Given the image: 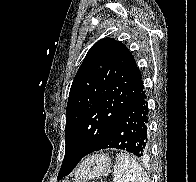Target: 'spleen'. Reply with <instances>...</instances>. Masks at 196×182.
I'll return each mask as SVG.
<instances>
[{"label":"spleen","mask_w":196,"mask_h":182,"mask_svg":"<svg viewBox=\"0 0 196 182\" xmlns=\"http://www.w3.org/2000/svg\"><path fill=\"white\" fill-rule=\"evenodd\" d=\"M114 182H149L143 168L128 154L119 153L113 172Z\"/></svg>","instance_id":"obj_1"}]
</instances>
